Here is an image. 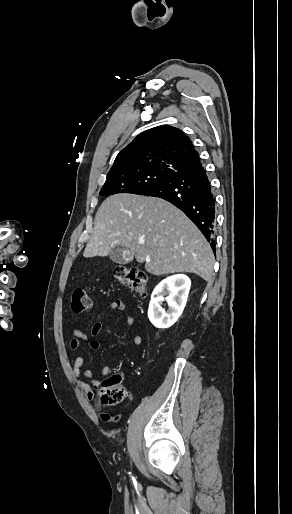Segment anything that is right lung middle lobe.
<instances>
[{"label":"right lung middle lobe","instance_id":"dd1d6c3e","mask_svg":"<svg viewBox=\"0 0 292 514\" xmlns=\"http://www.w3.org/2000/svg\"><path fill=\"white\" fill-rule=\"evenodd\" d=\"M172 174L168 172H143L130 175L107 177L100 195L109 196L117 193L143 195Z\"/></svg>","mask_w":292,"mask_h":514}]
</instances>
